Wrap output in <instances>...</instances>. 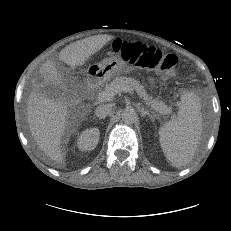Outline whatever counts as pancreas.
Listing matches in <instances>:
<instances>
[{"instance_id":"obj_1","label":"pancreas","mask_w":231,"mask_h":231,"mask_svg":"<svg viewBox=\"0 0 231 231\" xmlns=\"http://www.w3.org/2000/svg\"><path fill=\"white\" fill-rule=\"evenodd\" d=\"M122 84L128 85L133 90H135L136 93L138 94V96L140 98H142L146 102L147 105L151 106V108L154 111H156L160 114H164V115L171 113V107H168L164 102H162L158 99H153L151 96H149L146 93L144 86H142L134 78L125 77V76H117L109 84L105 85L104 91L111 88V87H114L117 85H122Z\"/></svg>"}]
</instances>
